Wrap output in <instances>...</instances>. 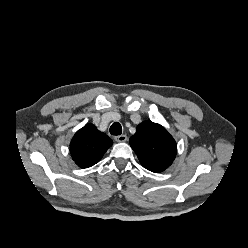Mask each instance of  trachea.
I'll return each instance as SVG.
<instances>
[{
	"instance_id": "3493384b",
	"label": "trachea",
	"mask_w": 248,
	"mask_h": 248,
	"mask_svg": "<svg viewBox=\"0 0 248 248\" xmlns=\"http://www.w3.org/2000/svg\"><path fill=\"white\" fill-rule=\"evenodd\" d=\"M110 133L112 135H120L122 133V127L118 122H115L110 127Z\"/></svg>"
}]
</instances>
